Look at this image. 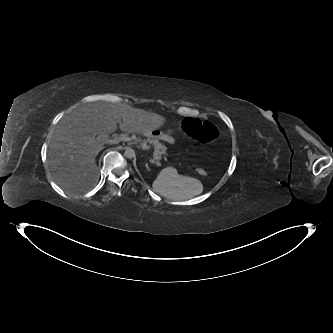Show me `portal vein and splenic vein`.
Instances as JSON below:
<instances>
[{"label":"portal vein and splenic vein","mask_w":333,"mask_h":333,"mask_svg":"<svg viewBox=\"0 0 333 333\" xmlns=\"http://www.w3.org/2000/svg\"><path fill=\"white\" fill-rule=\"evenodd\" d=\"M113 140L116 141V142L129 141L130 138L126 137L125 135H120L118 137H115ZM158 159H159V157L157 156V151L155 150L154 155H153V159H151V162L158 164V162H157Z\"/></svg>","instance_id":"portal-vein-and-splenic-vein-1"}]
</instances>
